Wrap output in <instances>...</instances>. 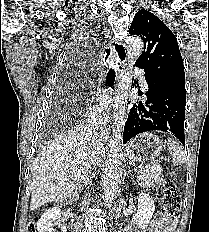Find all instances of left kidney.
I'll use <instances>...</instances> for the list:
<instances>
[{
	"label": "left kidney",
	"mask_w": 209,
	"mask_h": 232,
	"mask_svg": "<svg viewBox=\"0 0 209 232\" xmlns=\"http://www.w3.org/2000/svg\"><path fill=\"white\" fill-rule=\"evenodd\" d=\"M155 211L154 201L148 194L139 192L138 210L133 217V221L141 229H145Z\"/></svg>",
	"instance_id": "left-kidney-1"
}]
</instances>
